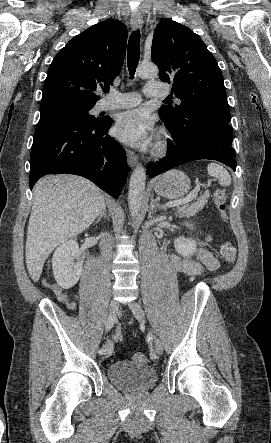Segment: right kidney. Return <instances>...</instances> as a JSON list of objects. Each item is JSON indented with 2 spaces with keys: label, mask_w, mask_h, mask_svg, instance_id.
<instances>
[{
  "label": "right kidney",
  "mask_w": 271,
  "mask_h": 443,
  "mask_svg": "<svg viewBox=\"0 0 271 443\" xmlns=\"http://www.w3.org/2000/svg\"><path fill=\"white\" fill-rule=\"evenodd\" d=\"M82 251L75 239H68L62 245L56 247L52 257V269L54 277L64 289H69L77 283L83 269V261L80 257ZM77 259V261H75Z\"/></svg>",
  "instance_id": "obj_1"
}]
</instances>
